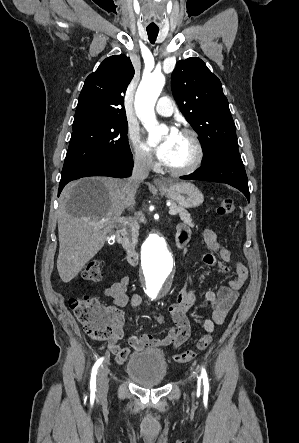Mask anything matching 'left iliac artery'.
<instances>
[{
	"mask_svg": "<svg viewBox=\"0 0 299 443\" xmlns=\"http://www.w3.org/2000/svg\"><path fill=\"white\" fill-rule=\"evenodd\" d=\"M201 378L203 379L204 389L209 390L208 376H207L206 369L203 366L201 367Z\"/></svg>",
	"mask_w": 299,
	"mask_h": 443,
	"instance_id": "1",
	"label": "left iliac artery"
}]
</instances>
